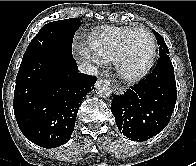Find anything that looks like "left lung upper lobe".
Returning <instances> with one entry per match:
<instances>
[{"instance_id": "obj_1", "label": "left lung upper lobe", "mask_w": 196, "mask_h": 166, "mask_svg": "<svg viewBox=\"0 0 196 166\" xmlns=\"http://www.w3.org/2000/svg\"><path fill=\"white\" fill-rule=\"evenodd\" d=\"M153 33L156 36L158 45L160 46L159 47V56L169 54L168 47H167L165 41L163 40L162 36L159 33H157L155 30H153Z\"/></svg>"}]
</instances>
